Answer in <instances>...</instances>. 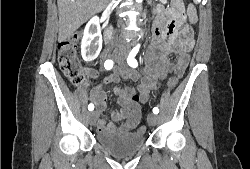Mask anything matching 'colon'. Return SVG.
<instances>
[{
	"label": "colon",
	"instance_id": "5ec220e1",
	"mask_svg": "<svg viewBox=\"0 0 250 169\" xmlns=\"http://www.w3.org/2000/svg\"><path fill=\"white\" fill-rule=\"evenodd\" d=\"M188 13L193 15L195 10L193 7L188 9ZM186 31V30H185ZM72 38H65L59 41L58 43V63L60 66L61 71L68 79V81L77 87L83 86L85 83V72L83 66L77 56V43L79 39H81V34H76ZM178 78L177 77H170L169 81L167 82V87L175 88L178 86ZM168 89L169 91L171 89ZM131 100H139V93H132ZM136 94V95H134ZM145 127H141V131H145Z\"/></svg>",
	"mask_w": 250,
	"mask_h": 169
}]
</instances>
